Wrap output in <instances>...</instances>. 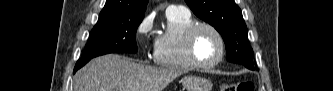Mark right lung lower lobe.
Listing matches in <instances>:
<instances>
[{
	"instance_id": "obj_1",
	"label": "right lung lower lobe",
	"mask_w": 333,
	"mask_h": 91,
	"mask_svg": "<svg viewBox=\"0 0 333 91\" xmlns=\"http://www.w3.org/2000/svg\"><path fill=\"white\" fill-rule=\"evenodd\" d=\"M91 58L89 59H79L78 62L76 63V66L74 68V73L80 69L82 66H84L88 61H90Z\"/></svg>"
}]
</instances>
